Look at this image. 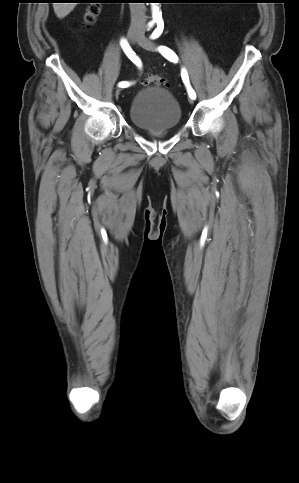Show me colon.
<instances>
[{
    "mask_svg": "<svg viewBox=\"0 0 299 483\" xmlns=\"http://www.w3.org/2000/svg\"><path fill=\"white\" fill-rule=\"evenodd\" d=\"M100 12V8L97 4L90 5L83 16V26L89 28L96 21V18ZM143 83L146 85H157V86H167L168 82L165 78L160 75L148 73L144 79Z\"/></svg>",
    "mask_w": 299,
    "mask_h": 483,
    "instance_id": "obj_1",
    "label": "colon"
}]
</instances>
